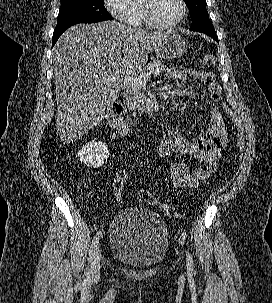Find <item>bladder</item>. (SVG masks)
<instances>
[{
    "label": "bladder",
    "mask_w": 272,
    "mask_h": 303,
    "mask_svg": "<svg viewBox=\"0 0 272 303\" xmlns=\"http://www.w3.org/2000/svg\"><path fill=\"white\" fill-rule=\"evenodd\" d=\"M109 236L111 255L135 268L158 265L169 248L165 221L155 211L140 206L119 210L110 223Z\"/></svg>",
    "instance_id": "bladder-1"
}]
</instances>
